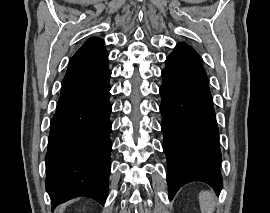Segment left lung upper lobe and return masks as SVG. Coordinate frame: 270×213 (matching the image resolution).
<instances>
[{"label": "left lung upper lobe", "instance_id": "5c2ea615", "mask_svg": "<svg viewBox=\"0 0 270 213\" xmlns=\"http://www.w3.org/2000/svg\"><path fill=\"white\" fill-rule=\"evenodd\" d=\"M167 68H196L202 67L199 54L185 43H178L173 52L166 58Z\"/></svg>", "mask_w": 270, "mask_h": 213}]
</instances>
